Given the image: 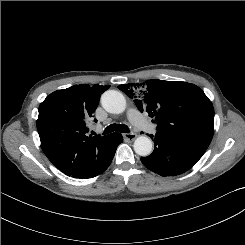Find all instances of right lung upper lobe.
<instances>
[{
	"label": "right lung upper lobe",
	"instance_id": "obj_1",
	"mask_svg": "<svg viewBox=\"0 0 245 245\" xmlns=\"http://www.w3.org/2000/svg\"><path fill=\"white\" fill-rule=\"evenodd\" d=\"M109 87L75 85L51 93L39 106L36 125L42 150L68 176H86L100 162L109 145L112 134L87 136L88 121L100 95Z\"/></svg>",
	"mask_w": 245,
	"mask_h": 245
}]
</instances>
